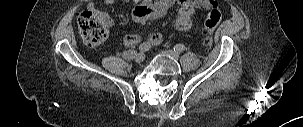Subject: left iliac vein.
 Here are the masks:
<instances>
[{
	"label": "left iliac vein",
	"mask_w": 303,
	"mask_h": 127,
	"mask_svg": "<svg viewBox=\"0 0 303 127\" xmlns=\"http://www.w3.org/2000/svg\"><path fill=\"white\" fill-rule=\"evenodd\" d=\"M160 54L162 56L170 57V58H173V59H178L179 58V53L175 52L173 50L161 51Z\"/></svg>",
	"instance_id": "4c4485c4"
}]
</instances>
